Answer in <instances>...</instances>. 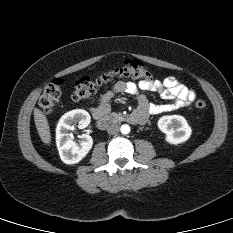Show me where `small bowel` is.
I'll return each instance as SVG.
<instances>
[{
  "mask_svg": "<svg viewBox=\"0 0 233 233\" xmlns=\"http://www.w3.org/2000/svg\"><path fill=\"white\" fill-rule=\"evenodd\" d=\"M144 92H156L162 99L169 102L150 103ZM115 93H127L135 96L138 101V111L146 116L187 107L196 99L194 90L180 83L175 77H166L163 80H141L138 83L118 81L109 91L98 98L96 104L90 107V112L95 118L110 111V100Z\"/></svg>",
  "mask_w": 233,
  "mask_h": 233,
  "instance_id": "1",
  "label": "small bowel"
}]
</instances>
